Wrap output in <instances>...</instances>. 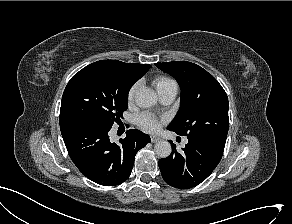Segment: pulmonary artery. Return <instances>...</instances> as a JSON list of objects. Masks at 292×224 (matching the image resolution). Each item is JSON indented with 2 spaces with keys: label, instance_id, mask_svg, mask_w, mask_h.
<instances>
[{
  "label": "pulmonary artery",
  "instance_id": "obj_1",
  "mask_svg": "<svg viewBox=\"0 0 292 224\" xmlns=\"http://www.w3.org/2000/svg\"><path fill=\"white\" fill-rule=\"evenodd\" d=\"M177 93L178 87L176 84L168 85L158 90L159 99L163 105L171 104L175 100ZM186 143L187 140H184V144Z\"/></svg>",
  "mask_w": 292,
  "mask_h": 224
}]
</instances>
